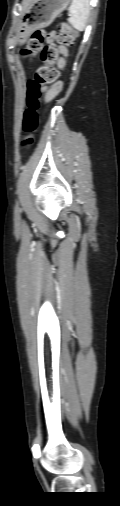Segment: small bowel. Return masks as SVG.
I'll return each instance as SVG.
<instances>
[{
    "mask_svg": "<svg viewBox=\"0 0 120 506\" xmlns=\"http://www.w3.org/2000/svg\"><path fill=\"white\" fill-rule=\"evenodd\" d=\"M48 37L49 39H52L54 37V33H50ZM61 87L62 84L58 82L54 84L50 89H46L45 100L50 101L51 99H53L57 95V93L61 90Z\"/></svg>",
    "mask_w": 120,
    "mask_h": 506,
    "instance_id": "obj_1",
    "label": "small bowel"
}]
</instances>
